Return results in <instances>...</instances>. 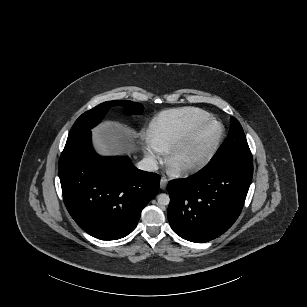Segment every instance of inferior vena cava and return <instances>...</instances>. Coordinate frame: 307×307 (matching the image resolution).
Returning <instances> with one entry per match:
<instances>
[{
	"label": "inferior vena cava",
	"instance_id": "1",
	"mask_svg": "<svg viewBox=\"0 0 307 307\" xmlns=\"http://www.w3.org/2000/svg\"><path fill=\"white\" fill-rule=\"evenodd\" d=\"M136 167L139 170L148 172L156 171L159 168L157 160H155L153 157L143 158L136 164Z\"/></svg>",
	"mask_w": 307,
	"mask_h": 307
}]
</instances>
